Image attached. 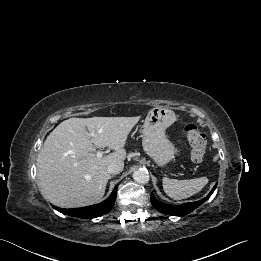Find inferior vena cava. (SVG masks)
<instances>
[{
    "label": "inferior vena cava",
    "mask_w": 261,
    "mask_h": 261,
    "mask_svg": "<svg viewBox=\"0 0 261 261\" xmlns=\"http://www.w3.org/2000/svg\"><path fill=\"white\" fill-rule=\"evenodd\" d=\"M123 167L124 166L121 165V164L109 165L108 168H107V173L112 174V175L118 174L123 170Z\"/></svg>",
    "instance_id": "inferior-vena-cava-1"
}]
</instances>
